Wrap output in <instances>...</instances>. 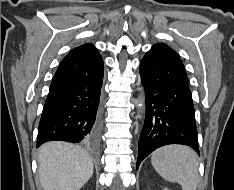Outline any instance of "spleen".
<instances>
[{"instance_id":"spleen-1","label":"spleen","mask_w":234,"mask_h":190,"mask_svg":"<svg viewBox=\"0 0 234 190\" xmlns=\"http://www.w3.org/2000/svg\"><path fill=\"white\" fill-rule=\"evenodd\" d=\"M151 162L159 175L177 182L182 190H196L199 182L198 159L195 151L183 145H167L154 151Z\"/></svg>"}]
</instances>
